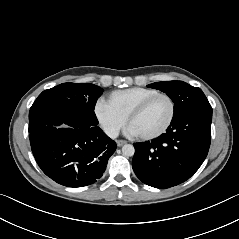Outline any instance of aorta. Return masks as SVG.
<instances>
[{"mask_svg": "<svg viewBox=\"0 0 239 239\" xmlns=\"http://www.w3.org/2000/svg\"><path fill=\"white\" fill-rule=\"evenodd\" d=\"M122 153L124 156L126 157H131L134 155L135 153V149L133 147V145L131 144H125L123 147H122Z\"/></svg>", "mask_w": 239, "mask_h": 239, "instance_id": "1", "label": "aorta"}]
</instances>
